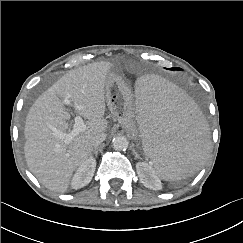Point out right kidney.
<instances>
[{
  "label": "right kidney",
  "mask_w": 243,
  "mask_h": 243,
  "mask_svg": "<svg viewBox=\"0 0 243 243\" xmlns=\"http://www.w3.org/2000/svg\"><path fill=\"white\" fill-rule=\"evenodd\" d=\"M96 167V160L92 157L82 163L74 174L71 187L73 189H79L90 183Z\"/></svg>",
  "instance_id": "obj_1"
}]
</instances>
